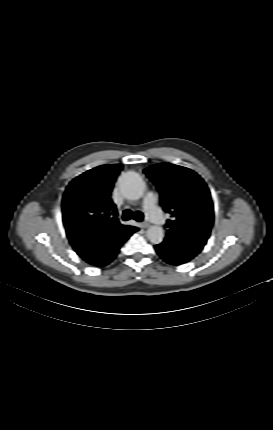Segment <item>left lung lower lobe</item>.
Returning a JSON list of instances; mask_svg holds the SVG:
<instances>
[{
  "label": "left lung lower lobe",
  "mask_w": 273,
  "mask_h": 430,
  "mask_svg": "<svg viewBox=\"0 0 273 430\" xmlns=\"http://www.w3.org/2000/svg\"><path fill=\"white\" fill-rule=\"evenodd\" d=\"M155 249L159 256L171 265H180L190 261L173 247L170 239L165 238L161 244L155 246Z\"/></svg>",
  "instance_id": "1"
}]
</instances>
